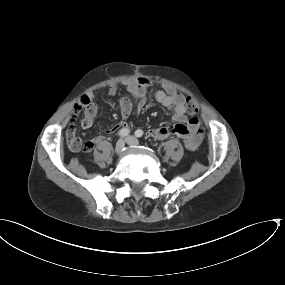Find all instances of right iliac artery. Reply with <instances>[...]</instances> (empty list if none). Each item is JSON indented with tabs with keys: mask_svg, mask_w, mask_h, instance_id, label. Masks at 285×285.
<instances>
[{
	"mask_svg": "<svg viewBox=\"0 0 285 285\" xmlns=\"http://www.w3.org/2000/svg\"><path fill=\"white\" fill-rule=\"evenodd\" d=\"M129 133H130V130L128 128H126V129H121L118 134H119L120 137H125Z\"/></svg>",
	"mask_w": 285,
	"mask_h": 285,
	"instance_id": "82829eb1",
	"label": "right iliac artery"
}]
</instances>
